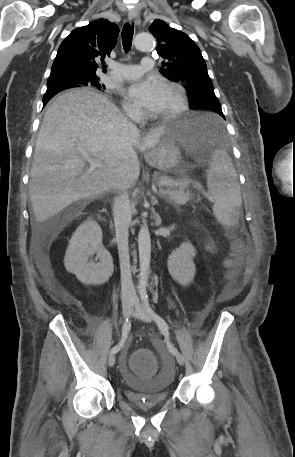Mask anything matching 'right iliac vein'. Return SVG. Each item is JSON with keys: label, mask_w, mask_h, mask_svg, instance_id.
<instances>
[{"label": "right iliac vein", "mask_w": 295, "mask_h": 457, "mask_svg": "<svg viewBox=\"0 0 295 457\" xmlns=\"http://www.w3.org/2000/svg\"><path fill=\"white\" fill-rule=\"evenodd\" d=\"M122 310H123V318L124 320L127 319L131 313V310H132V301L131 300H127L123 303V306H122ZM115 360H116V357H115V353H111L108 357V365L110 367H112L114 364H115Z\"/></svg>", "instance_id": "63e3f726"}]
</instances>
